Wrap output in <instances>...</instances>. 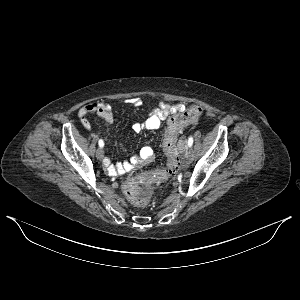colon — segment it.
Instances as JSON below:
<instances>
[{
	"mask_svg": "<svg viewBox=\"0 0 300 300\" xmlns=\"http://www.w3.org/2000/svg\"><path fill=\"white\" fill-rule=\"evenodd\" d=\"M201 114L202 108L194 105L172 117L164 138V149L169 159L168 165L125 184V194L134 205L143 206L147 203L151 193L149 184L165 183L167 179L173 176L178 165L177 136L185 127L197 120Z\"/></svg>",
	"mask_w": 300,
	"mask_h": 300,
	"instance_id": "obj_1",
	"label": "colon"
}]
</instances>
